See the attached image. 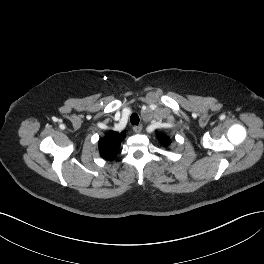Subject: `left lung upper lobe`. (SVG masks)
I'll return each instance as SVG.
<instances>
[{
	"label": "left lung upper lobe",
	"instance_id": "1",
	"mask_svg": "<svg viewBox=\"0 0 264 264\" xmlns=\"http://www.w3.org/2000/svg\"><path fill=\"white\" fill-rule=\"evenodd\" d=\"M161 143L164 145H169L170 144V139L168 137H164L162 139H159Z\"/></svg>",
	"mask_w": 264,
	"mask_h": 264
}]
</instances>
